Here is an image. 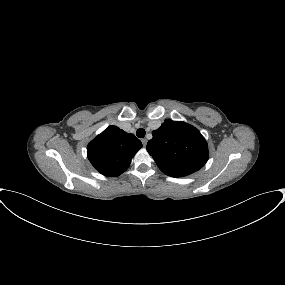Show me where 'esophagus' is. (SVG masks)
<instances>
[{
  "mask_svg": "<svg viewBox=\"0 0 285 285\" xmlns=\"http://www.w3.org/2000/svg\"><path fill=\"white\" fill-rule=\"evenodd\" d=\"M141 142H142L143 146L146 147V145H147V139H146V138H143V139L141 140Z\"/></svg>",
  "mask_w": 285,
  "mask_h": 285,
  "instance_id": "esophagus-1",
  "label": "esophagus"
}]
</instances>
